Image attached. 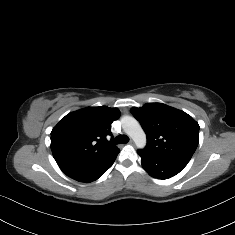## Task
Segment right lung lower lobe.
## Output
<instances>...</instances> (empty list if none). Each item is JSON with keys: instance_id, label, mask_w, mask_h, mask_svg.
Here are the masks:
<instances>
[{"instance_id": "obj_1", "label": "right lung lower lobe", "mask_w": 235, "mask_h": 235, "mask_svg": "<svg viewBox=\"0 0 235 235\" xmlns=\"http://www.w3.org/2000/svg\"><path fill=\"white\" fill-rule=\"evenodd\" d=\"M115 159L93 165H77L71 163L58 164L60 169L68 177L79 181L90 183L101 177L113 164Z\"/></svg>"}]
</instances>
